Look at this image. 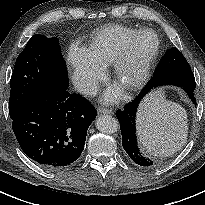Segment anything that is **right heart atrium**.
Listing matches in <instances>:
<instances>
[{
  "label": "right heart atrium",
  "mask_w": 205,
  "mask_h": 205,
  "mask_svg": "<svg viewBox=\"0 0 205 205\" xmlns=\"http://www.w3.org/2000/svg\"><path fill=\"white\" fill-rule=\"evenodd\" d=\"M68 61L73 69V80L86 94H92L104 74V68L98 64L87 50L72 45L68 51Z\"/></svg>",
  "instance_id": "d8ad5b80"
}]
</instances>
